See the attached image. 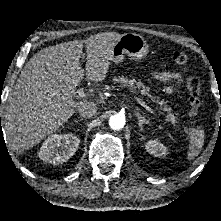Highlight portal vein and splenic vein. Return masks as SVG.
<instances>
[{
	"instance_id": "1",
	"label": "portal vein and splenic vein",
	"mask_w": 221,
	"mask_h": 221,
	"mask_svg": "<svg viewBox=\"0 0 221 221\" xmlns=\"http://www.w3.org/2000/svg\"><path fill=\"white\" fill-rule=\"evenodd\" d=\"M77 95L75 96L76 99L86 98L88 96L87 93L84 92L83 88H78L76 91ZM129 95L135 99L143 108H145L148 112L153 114L154 116H158L154 109L146 104V102L140 98L139 96L135 95L134 93H129Z\"/></svg>"
}]
</instances>
